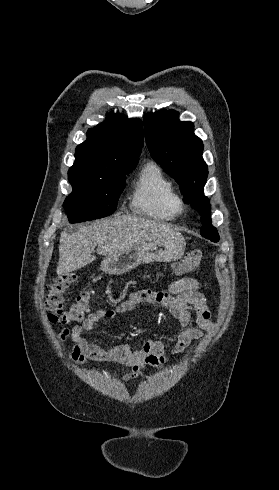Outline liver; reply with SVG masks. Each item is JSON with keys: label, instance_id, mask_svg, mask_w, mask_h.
<instances>
[{"label": "liver", "instance_id": "obj_1", "mask_svg": "<svg viewBox=\"0 0 279 490\" xmlns=\"http://www.w3.org/2000/svg\"><path fill=\"white\" fill-rule=\"evenodd\" d=\"M181 236L170 224H157L137 216H117L92 224H80L75 234H61L57 276H68L94 262L93 250L99 256H116L144 242Z\"/></svg>", "mask_w": 279, "mask_h": 490}]
</instances>
